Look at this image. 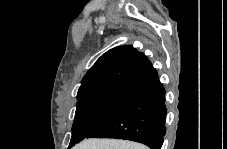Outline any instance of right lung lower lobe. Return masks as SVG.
Instances as JSON below:
<instances>
[{"mask_svg": "<svg viewBox=\"0 0 227 149\" xmlns=\"http://www.w3.org/2000/svg\"><path fill=\"white\" fill-rule=\"evenodd\" d=\"M165 89L158 75L136 88L128 101L87 138H117L161 149L166 133Z\"/></svg>", "mask_w": 227, "mask_h": 149, "instance_id": "obj_1", "label": "right lung lower lobe"}]
</instances>
